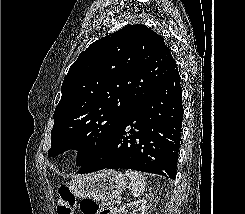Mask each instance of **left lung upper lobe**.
<instances>
[{
  "label": "left lung upper lobe",
  "instance_id": "left-lung-upper-lobe-1",
  "mask_svg": "<svg viewBox=\"0 0 245 214\" xmlns=\"http://www.w3.org/2000/svg\"><path fill=\"white\" fill-rule=\"evenodd\" d=\"M176 68L163 38L144 25L92 43L64 77L49 157L79 150L76 162L82 166Z\"/></svg>",
  "mask_w": 245,
  "mask_h": 214
}]
</instances>
